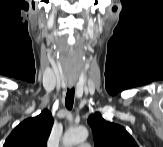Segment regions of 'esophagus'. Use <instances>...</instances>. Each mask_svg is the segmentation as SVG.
I'll return each instance as SVG.
<instances>
[{
    "label": "esophagus",
    "mask_w": 163,
    "mask_h": 147,
    "mask_svg": "<svg viewBox=\"0 0 163 147\" xmlns=\"http://www.w3.org/2000/svg\"><path fill=\"white\" fill-rule=\"evenodd\" d=\"M74 86V83L70 82L69 87L72 88Z\"/></svg>",
    "instance_id": "obj_1"
}]
</instances>
